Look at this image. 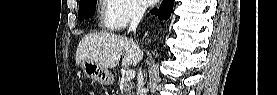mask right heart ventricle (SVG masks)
<instances>
[{
	"instance_id": "1",
	"label": "right heart ventricle",
	"mask_w": 277,
	"mask_h": 95,
	"mask_svg": "<svg viewBox=\"0 0 277 95\" xmlns=\"http://www.w3.org/2000/svg\"><path fill=\"white\" fill-rule=\"evenodd\" d=\"M116 6L111 0L102 1L100 24L103 28L110 29L112 9Z\"/></svg>"
}]
</instances>
